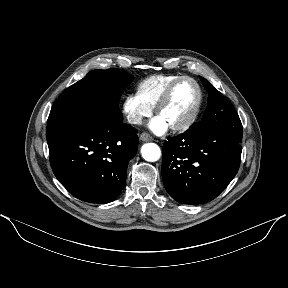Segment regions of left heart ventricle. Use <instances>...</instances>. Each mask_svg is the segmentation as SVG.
I'll return each mask as SVG.
<instances>
[{
    "mask_svg": "<svg viewBox=\"0 0 288 288\" xmlns=\"http://www.w3.org/2000/svg\"><path fill=\"white\" fill-rule=\"evenodd\" d=\"M197 89L189 80L181 81L174 89L169 102L162 108L158 117L169 126L184 121L192 113L197 101Z\"/></svg>",
    "mask_w": 288,
    "mask_h": 288,
    "instance_id": "obj_1",
    "label": "left heart ventricle"
}]
</instances>
